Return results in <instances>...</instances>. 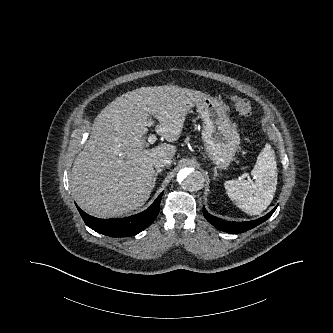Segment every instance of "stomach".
I'll return each instance as SVG.
<instances>
[{"label": "stomach", "instance_id": "1", "mask_svg": "<svg viewBox=\"0 0 333 333\" xmlns=\"http://www.w3.org/2000/svg\"><path fill=\"white\" fill-rule=\"evenodd\" d=\"M203 121L202 140L208 157L219 168L227 167L239 148L240 136L226 105L213 97L196 104Z\"/></svg>", "mask_w": 333, "mask_h": 333}]
</instances>
